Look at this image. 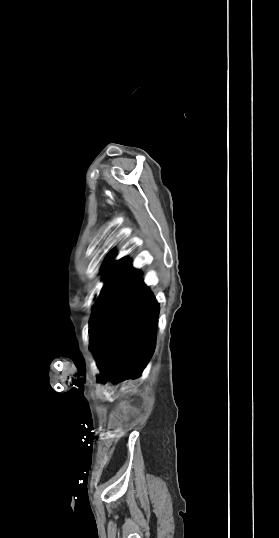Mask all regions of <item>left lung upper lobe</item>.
I'll use <instances>...</instances> for the list:
<instances>
[{
    "instance_id": "1",
    "label": "left lung upper lobe",
    "mask_w": 279,
    "mask_h": 538,
    "mask_svg": "<svg viewBox=\"0 0 279 538\" xmlns=\"http://www.w3.org/2000/svg\"><path fill=\"white\" fill-rule=\"evenodd\" d=\"M116 253L111 252L106 257V260L103 265L104 274L107 275L105 279V283L111 279V277L121 268L123 267L127 262V258H123L118 262H114L113 259L115 257Z\"/></svg>"
}]
</instances>
